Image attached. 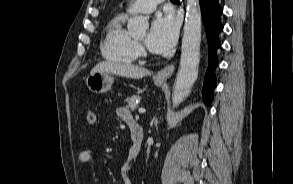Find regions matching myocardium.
Returning a JSON list of instances; mask_svg holds the SVG:
<instances>
[{
	"label": "myocardium",
	"mask_w": 293,
	"mask_h": 184,
	"mask_svg": "<svg viewBox=\"0 0 293 184\" xmlns=\"http://www.w3.org/2000/svg\"><path fill=\"white\" fill-rule=\"evenodd\" d=\"M137 47H138V53L141 57L143 58H148L149 54L148 52L145 50V48L143 47L142 43L139 41H136Z\"/></svg>",
	"instance_id": "myocardium-1"
}]
</instances>
